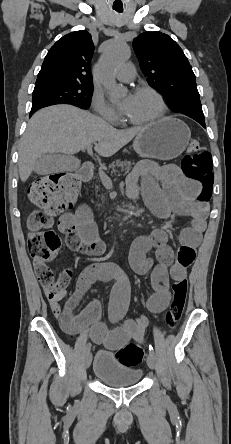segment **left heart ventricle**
Wrapping results in <instances>:
<instances>
[{
    "label": "left heart ventricle",
    "mask_w": 231,
    "mask_h": 444,
    "mask_svg": "<svg viewBox=\"0 0 231 444\" xmlns=\"http://www.w3.org/2000/svg\"><path fill=\"white\" fill-rule=\"evenodd\" d=\"M126 116L132 120L141 121L152 118L160 112V104L155 96L150 93L132 94Z\"/></svg>",
    "instance_id": "left-heart-ventricle-1"
}]
</instances>
